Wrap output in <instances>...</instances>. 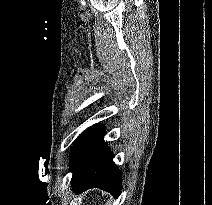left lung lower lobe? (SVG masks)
<instances>
[{
  "label": "left lung lower lobe",
  "instance_id": "obj_1",
  "mask_svg": "<svg viewBox=\"0 0 212 205\" xmlns=\"http://www.w3.org/2000/svg\"><path fill=\"white\" fill-rule=\"evenodd\" d=\"M104 132L102 125L89 127L70 152L71 185L75 193L98 187L115 197L120 194L121 173L112 160L111 150L103 141Z\"/></svg>",
  "mask_w": 212,
  "mask_h": 205
}]
</instances>
